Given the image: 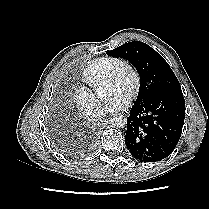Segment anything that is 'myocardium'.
Here are the masks:
<instances>
[{
  "mask_svg": "<svg viewBox=\"0 0 209 209\" xmlns=\"http://www.w3.org/2000/svg\"><path fill=\"white\" fill-rule=\"evenodd\" d=\"M123 70L129 71V73L131 74V77H132V82H131L130 87L128 89V97H129V99H132L136 95V93L139 89L140 76H139L137 69L129 61L120 60L118 63H116L108 71L107 75L104 78V82L109 83V82L116 81L119 78V76Z\"/></svg>",
  "mask_w": 209,
  "mask_h": 209,
  "instance_id": "myocardium-1",
  "label": "myocardium"
}]
</instances>
